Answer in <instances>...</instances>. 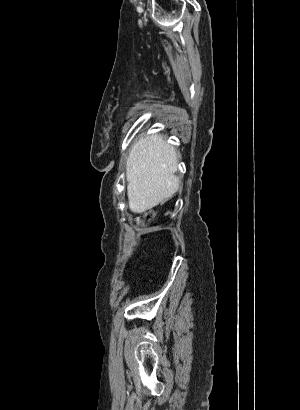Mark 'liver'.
I'll list each match as a JSON object with an SVG mask.
<instances>
[{"label":"liver","instance_id":"6515ba94","mask_svg":"<svg viewBox=\"0 0 300 410\" xmlns=\"http://www.w3.org/2000/svg\"><path fill=\"white\" fill-rule=\"evenodd\" d=\"M178 155L160 134L141 137L127 160L129 209L144 213L168 200L179 186Z\"/></svg>","mask_w":300,"mask_h":410}]
</instances>
